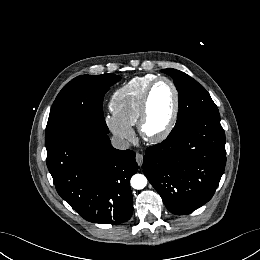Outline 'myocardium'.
<instances>
[{"label": "myocardium", "mask_w": 260, "mask_h": 260, "mask_svg": "<svg viewBox=\"0 0 260 260\" xmlns=\"http://www.w3.org/2000/svg\"><path fill=\"white\" fill-rule=\"evenodd\" d=\"M160 82H166L171 86L173 93H174V109H173L171 118L169 120V123L167 124L165 129L158 134L149 135L145 131V123H146L147 116H148L150 98L153 93V90L155 89L157 84ZM180 105H181V101H180L179 90H178L176 84L171 79L164 77V76H160V77H157L155 80H153L152 83L147 88L146 92L144 93V96H143L142 102H141L140 111H139V117L137 120V128H138V132H139L141 138L144 141L150 142V143H159V142L166 140L171 135V133L173 132V130L176 126V123L179 118V113H180Z\"/></svg>", "instance_id": "f54148a6"}]
</instances>
